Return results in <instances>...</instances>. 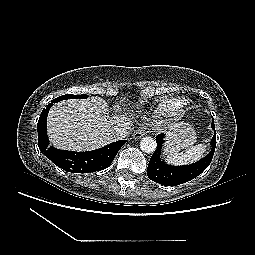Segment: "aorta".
<instances>
[{
    "label": "aorta",
    "instance_id": "obj_1",
    "mask_svg": "<svg viewBox=\"0 0 255 255\" xmlns=\"http://www.w3.org/2000/svg\"><path fill=\"white\" fill-rule=\"evenodd\" d=\"M156 141L149 136L143 137L140 141V148L145 153H153L156 150Z\"/></svg>",
    "mask_w": 255,
    "mask_h": 255
}]
</instances>
